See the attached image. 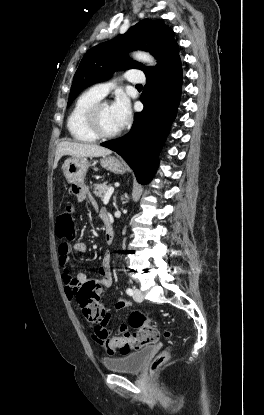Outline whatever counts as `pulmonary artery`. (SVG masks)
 <instances>
[{"label":"pulmonary artery","mask_w":264,"mask_h":415,"mask_svg":"<svg viewBox=\"0 0 264 415\" xmlns=\"http://www.w3.org/2000/svg\"><path fill=\"white\" fill-rule=\"evenodd\" d=\"M127 80L132 84H139L145 80V76L142 73H129L127 75ZM115 85L116 83L114 82L101 83L94 85L90 90L102 98L106 96L115 87Z\"/></svg>","instance_id":"pulmonary-artery-1"}]
</instances>
